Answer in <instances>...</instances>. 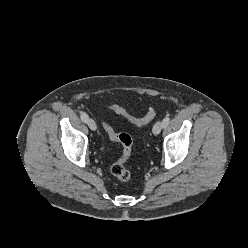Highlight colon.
<instances>
[{
    "label": "colon",
    "instance_id": "colon-1",
    "mask_svg": "<svg viewBox=\"0 0 248 248\" xmlns=\"http://www.w3.org/2000/svg\"><path fill=\"white\" fill-rule=\"evenodd\" d=\"M109 109L139 127L147 125L157 115V110L154 108H150L143 117L131 115L124 107L118 104L109 105ZM103 128L112 140L119 142L122 146V154L111 166V173L122 182L129 181L131 174L126 168V163L132 154L133 139L128 133H117L113 127L106 122H103Z\"/></svg>",
    "mask_w": 248,
    "mask_h": 248
}]
</instances>
